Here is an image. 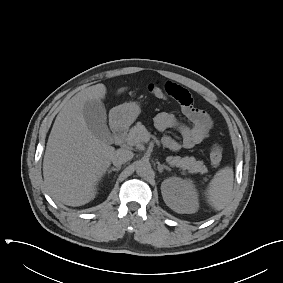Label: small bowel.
<instances>
[{
    "instance_id": "small-bowel-1",
    "label": "small bowel",
    "mask_w": 283,
    "mask_h": 283,
    "mask_svg": "<svg viewBox=\"0 0 283 283\" xmlns=\"http://www.w3.org/2000/svg\"><path fill=\"white\" fill-rule=\"evenodd\" d=\"M163 89L165 97H172L179 102L183 115L189 121V125H186L171 113H158L154 119L157 130L165 132L170 128H176L182 137L181 140H177L165 134L162 138L163 145L169 150L177 152L181 148H192L202 143L208 137L212 128L210 116L205 111L194 106L191 94L181 85L166 82Z\"/></svg>"
}]
</instances>
